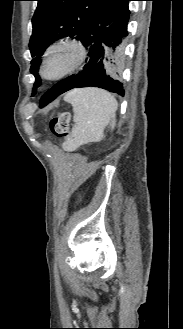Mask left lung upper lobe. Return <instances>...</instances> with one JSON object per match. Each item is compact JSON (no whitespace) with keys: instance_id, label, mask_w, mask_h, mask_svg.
Here are the masks:
<instances>
[{"instance_id":"5c2ea615","label":"left lung upper lobe","mask_w":183,"mask_h":329,"mask_svg":"<svg viewBox=\"0 0 183 329\" xmlns=\"http://www.w3.org/2000/svg\"><path fill=\"white\" fill-rule=\"evenodd\" d=\"M29 49L33 57L30 72L35 76L33 95L40 86L41 56L54 41L70 37L82 40L95 17L113 0H36Z\"/></svg>"}]
</instances>
